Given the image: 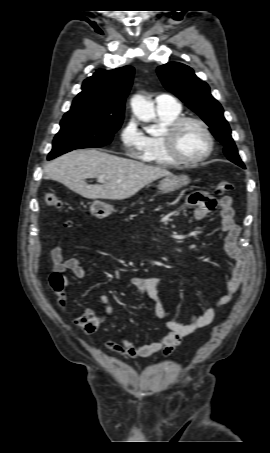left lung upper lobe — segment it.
Listing matches in <instances>:
<instances>
[{
	"instance_id": "1",
	"label": "left lung upper lobe",
	"mask_w": 270,
	"mask_h": 453,
	"mask_svg": "<svg viewBox=\"0 0 270 453\" xmlns=\"http://www.w3.org/2000/svg\"><path fill=\"white\" fill-rule=\"evenodd\" d=\"M157 73L166 89L186 103L209 125L211 133L224 145L227 158L245 168L231 137L230 127L223 116V108L211 95L207 83L182 63L164 64L157 68Z\"/></svg>"
}]
</instances>
